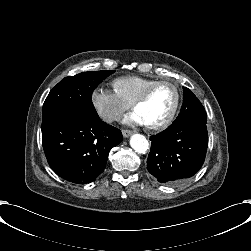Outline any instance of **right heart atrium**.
I'll list each match as a JSON object with an SVG mask.
<instances>
[{"label": "right heart atrium", "mask_w": 251, "mask_h": 251, "mask_svg": "<svg viewBox=\"0 0 251 251\" xmlns=\"http://www.w3.org/2000/svg\"><path fill=\"white\" fill-rule=\"evenodd\" d=\"M90 104L95 113L105 122L112 123L131 107L114 91L105 88H94L89 96Z\"/></svg>", "instance_id": "1"}]
</instances>
